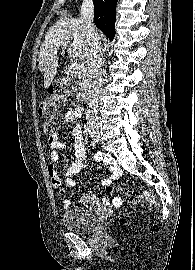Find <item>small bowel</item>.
Returning a JSON list of instances; mask_svg holds the SVG:
<instances>
[{"label":"small bowel","instance_id":"small-bowel-1","mask_svg":"<svg viewBox=\"0 0 195 270\" xmlns=\"http://www.w3.org/2000/svg\"><path fill=\"white\" fill-rule=\"evenodd\" d=\"M83 109L82 108H72L68 110L62 120L57 125L54 133L49 137V145L51 148V161L47 166V170L52 182V185L60 191L61 194H64L67 188H72L76 185V181L72 178L74 175H77L82 168L84 167L83 158L85 156V143H84V134L82 128V119ZM74 122V127L71 130V135L74 139V152L76 160L71 164V166L66 170L59 171L57 169V164L60 161V153L66 149V145L60 141L59 135L63 127L69 123ZM101 161H104L110 170L111 177H106L103 179L102 184L106 187L108 192H112V181L114 178L120 176L121 169L117 164L112 160V158L97 154L94 157V163L99 164ZM64 184V187H62ZM82 203L85 205H92L95 203L96 199L91 194H84L81 198ZM103 203L108 206L119 207L122 204L120 198L115 197L112 200L103 199ZM63 205L66 209L72 206V201L65 199Z\"/></svg>","mask_w":195,"mask_h":270}]
</instances>
